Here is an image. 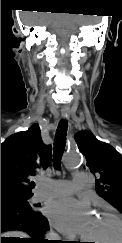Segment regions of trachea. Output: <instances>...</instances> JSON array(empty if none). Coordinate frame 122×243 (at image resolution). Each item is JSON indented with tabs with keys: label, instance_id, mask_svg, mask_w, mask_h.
<instances>
[{
	"label": "trachea",
	"instance_id": "obj_1",
	"mask_svg": "<svg viewBox=\"0 0 122 243\" xmlns=\"http://www.w3.org/2000/svg\"><path fill=\"white\" fill-rule=\"evenodd\" d=\"M67 121L62 120L60 121L56 134H55V139H54V153H53V165L55 169L60 168L61 164V157L63 155V152L65 150V145H66V134H67Z\"/></svg>",
	"mask_w": 122,
	"mask_h": 243
}]
</instances>
